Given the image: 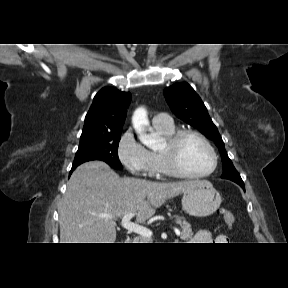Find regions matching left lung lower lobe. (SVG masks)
I'll return each instance as SVG.
<instances>
[{"instance_id": "obj_1", "label": "left lung lower lobe", "mask_w": 288, "mask_h": 288, "mask_svg": "<svg viewBox=\"0 0 288 288\" xmlns=\"http://www.w3.org/2000/svg\"><path fill=\"white\" fill-rule=\"evenodd\" d=\"M244 190H245V187H244V185H240Z\"/></svg>"}]
</instances>
